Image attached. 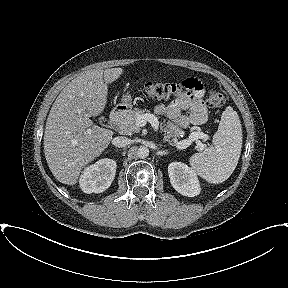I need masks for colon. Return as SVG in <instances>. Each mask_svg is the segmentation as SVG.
Listing matches in <instances>:
<instances>
[{
  "label": "colon",
  "mask_w": 288,
  "mask_h": 288,
  "mask_svg": "<svg viewBox=\"0 0 288 288\" xmlns=\"http://www.w3.org/2000/svg\"><path fill=\"white\" fill-rule=\"evenodd\" d=\"M188 85L184 82H170V83H153L149 82L145 85V93L150 98L167 99L173 95L182 92ZM225 102V98L222 93L216 90H209L207 103L210 107H221Z\"/></svg>",
  "instance_id": "obj_1"
}]
</instances>
